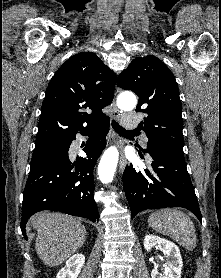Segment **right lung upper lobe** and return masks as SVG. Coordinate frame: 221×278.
Listing matches in <instances>:
<instances>
[{"instance_id":"obj_1","label":"right lung upper lobe","mask_w":221,"mask_h":278,"mask_svg":"<svg viewBox=\"0 0 221 278\" xmlns=\"http://www.w3.org/2000/svg\"><path fill=\"white\" fill-rule=\"evenodd\" d=\"M115 84V73L96 54L81 52L68 59L46 89L35 147L64 140L108 118L102 109L112 102Z\"/></svg>"}]
</instances>
